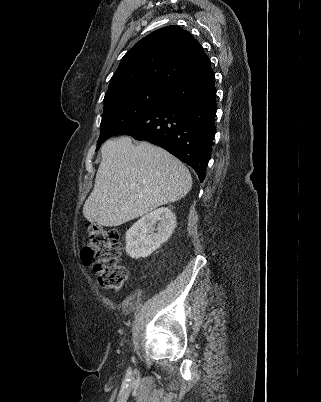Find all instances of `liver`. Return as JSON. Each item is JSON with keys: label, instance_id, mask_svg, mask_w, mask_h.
Masks as SVG:
<instances>
[{"label": "liver", "instance_id": "liver-1", "mask_svg": "<svg viewBox=\"0 0 321 402\" xmlns=\"http://www.w3.org/2000/svg\"><path fill=\"white\" fill-rule=\"evenodd\" d=\"M93 191L84 217L116 227L153 209L184 198L192 187L186 166L161 147L131 137L108 140L101 149Z\"/></svg>", "mask_w": 321, "mask_h": 402}]
</instances>
